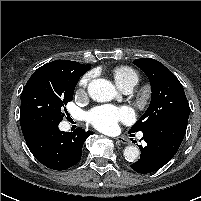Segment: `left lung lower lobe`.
Returning <instances> with one entry per match:
<instances>
[{
	"label": "left lung lower lobe",
	"mask_w": 201,
	"mask_h": 201,
	"mask_svg": "<svg viewBox=\"0 0 201 201\" xmlns=\"http://www.w3.org/2000/svg\"><path fill=\"white\" fill-rule=\"evenodd\" d=\"M187 129V122L170 120L157 123L143 131L147 145H139L140 159L130 165L138 173L154 172L168 163L176 154Z\"/></svg>",
	"instance_id": "0a47b994"
}]
</instances>
